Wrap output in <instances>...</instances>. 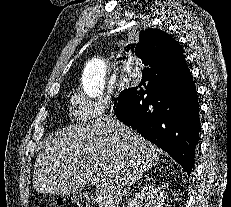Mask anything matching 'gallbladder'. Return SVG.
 <instances>
[{
    "label": "gallbladder",
    "mask_w": 231,
    "mask_h": 207,
    "mask_svg": "<svg viewBox=\"0 0 231 207\" xmlns=\"http://www.w3.org/2000/svg\"><path fill=\"white\" fill-rule=\"evenodd\" d=\"M75 200L83 202L87 207H93L95 205V199L93 195L88 192L77 193Z\"/></svg>",
    "instance_id": "gallbladder-1"
}]
</instances>
